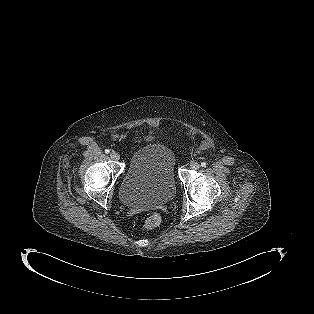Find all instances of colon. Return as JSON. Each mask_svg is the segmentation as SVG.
I'll list each match as a JSON object with an SVG mask.
<instances>
[{"mask_svg":"<svg viewBox=\"0 0 314 314\" xmlns=\"http://www.w3.org/2000/svg\"><path fill=\"white\" fill-rule=\"evenodd\" d=\"M161 222V218L158 214L150 215L144 223L146 229H152L157 227Z\"/></svg>","mask_w":314,"mask_h":314,"instance_id":"5ec220e1","label":"colon"}]
</instances>
